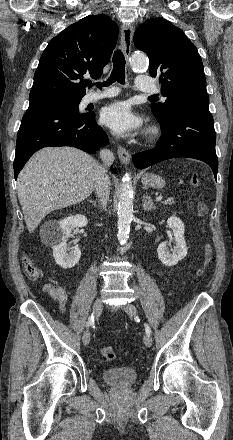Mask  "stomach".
<instances>
[{"label": "stomach", "mask_w": 233, "mask_h": 440, "mask_svg": "<svg viewBox=\"0 0 233 440\" xmlns=\"http://www.w3.org/2000/svg\"><path fill=\"white\" fill-rule=\"evenodd\" d=\"M141 182L145 187L157 189H160L165 185V181L162 179V177L150 173H145L141 178Z\"/></svg>", "instance_id": "stomach-1"}]
</instances>
